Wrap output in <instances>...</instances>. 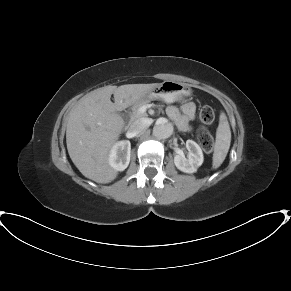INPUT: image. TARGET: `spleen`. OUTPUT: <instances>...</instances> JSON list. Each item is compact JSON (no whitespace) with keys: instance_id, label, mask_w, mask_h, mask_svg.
I'll return each mask as SVG.
<instances>
[{"instance_id":"1","label":"spleen","mask_w":291,"mask_h":291,"mask_svg":"<svg viewBox=\"0 0 291 291\" xmlns=\"http://www.w3.org/2000/svg\"><path fill=\"white\" fill-rule=\"evenodd\" d=\"M231 143V130L224 112L219 117V125L216 131V142L212 157V167L217 169L224 162Z\"/></svg>"}]
</instances>
